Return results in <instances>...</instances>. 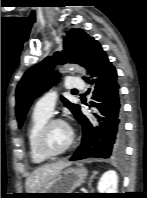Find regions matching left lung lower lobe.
I'll return each instance as SVG.
<instances>
[{"mask_svg": "<svg viewBox=\"0 0 147 198\" xmlns=\"http://www.w3.org/2000/svg\"><path fill=\"white\" fill-rule=\"evenodd\" d=\"M87 70L93 78L90 83L94 84L92 98L100 114L96 116L99 123L93 127L80 112L77 119L82 125V142L70 160L119 158L124 153L125 134L117 72L97 41L92 44Z\"/></svg>", "mask_w": 147, "mask_h": 198, "instance_id": "0a47b994", "label": "left lung lower lobe"}]
</instances>
